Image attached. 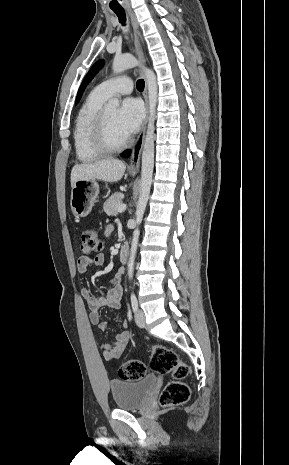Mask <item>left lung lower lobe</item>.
<instances>
[{
  "label": "left lung lower lobe",
  "mask_w": 289,
  "mask_h": 465,
  "mask_svg": "<svg viewBox=\"0 0 289 465\" xmlns=\"http://www.w3.org/2000/svg\"><path fill=\"white\" fill-rule=\"evenodd\" d=\"M129 155H130L129 151L121 154V156H123V157H128Z\"/></svg>",
  "instance_id": "left-lung-lower-lobe-1"
}]
</instances>
